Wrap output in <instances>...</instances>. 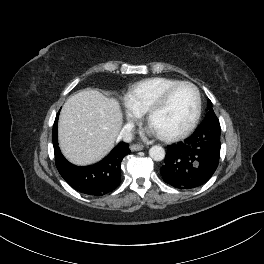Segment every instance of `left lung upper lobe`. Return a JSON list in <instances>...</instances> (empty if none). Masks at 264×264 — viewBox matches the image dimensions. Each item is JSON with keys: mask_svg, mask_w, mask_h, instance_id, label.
<instances>
[{"mask_svg": "<svg viewBox=\"0 0 264 264\" xmlns=\"http://www.w3.org/2000/svg\"><path fill=\"white\" fill-rule=\"evenodd\" d=\"M208 112L205 116V122H213L219 124V120L217 116L215 115L213 108H212V103L210 100H208V106H207Z\"/></svg>", "mask_w": 264, "mask_h": 264, "instance_id": "left-lung-upper-lobe-1", "label": "left lung upper lobe"}]
</instances>
